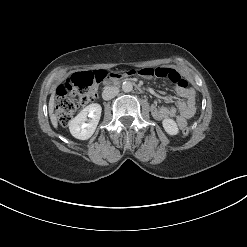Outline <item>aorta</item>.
Masks as SVG:
<instances>
[{
  "mask_svg": "<svg viewBox=\"0 0 247 247\" xmlns=\"http://www.w3.org/2000/svg\"><path fill=\"white\" fill-rule=\"evenodd\" d=\"M122 90H123L124 92H131V91L133 90V85H132V83L129 82V81L123 82V84H122Z\"/></svg>",
  "mask_w": 247,
  "mask_h": 247,
  "instance_id": "762f6f07",
  "label": "aorta"
}]
</instances>
